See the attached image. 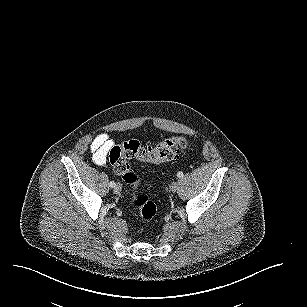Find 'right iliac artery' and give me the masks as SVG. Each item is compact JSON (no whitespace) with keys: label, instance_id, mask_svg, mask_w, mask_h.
Returning a JSON list of instances; mask_svg holds the SVG:
<instances>
[{"label":"right iliac artery","instance_id":"obj_1","mask_svg":"<svg viewBox=\"0 0 307 307\" xmlns=\"http://www.w3.org/2000/svg\"><path fill=\"white\" fill-rule=\"evenodd\" d=\"M109 185H110V187H112V188H113V187H115V185H116V184H115V182H114V181H111Z\"/></svg>","mask_w":307,"mask_h":307}]
</instances>
